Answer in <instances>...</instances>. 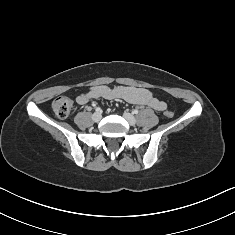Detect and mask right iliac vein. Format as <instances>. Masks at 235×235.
<instances>
[{"label": "right iliac vein", "mask_w": 235, "mask_h": 235, "mask_svg": "<svg viewBox=\"0 0 235 235\" xmlns=\"http://www.w3.org/2000/svg\"><path fill=\"white\" fill-rule=\"evenodd\" d=\"M102 118V115L99 112H96L92 115V120L94 122H99Z\"/></svg>", "instance_id": "obj_1"}]
</instances>
